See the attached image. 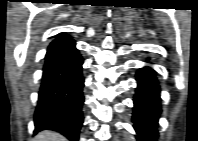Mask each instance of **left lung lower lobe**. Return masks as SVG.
<instances>
[{
    "label": "left lung lower lobe",
    "mask_w": 198,
    "mask_h": 141,
    "mask_svg": "<svg viewBox=\"0 0 198 141\" xmlns=\"http://www.w3.org/2000/svg\"><path fill=\"white\" fill-rule=\"evenodd\" d=\"M136 80L138 86L133 99L132 115L136 137L138 141H156L162 111L159 81L155 70L150 66L140 68Z\"/></svg>",
    "instance_id": "1"
}]
</instances>
